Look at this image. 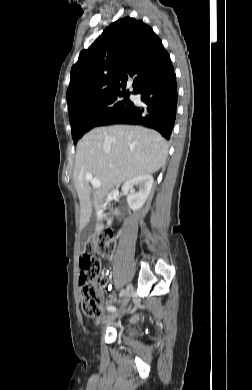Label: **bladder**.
I'll return each mask as SVG.
<instances>
[{
    "label": "bladder",
    "mask_w": 252,
    "mask_h": 390,
    "mask_svg": "<svg viewBox=\"0 0 252 390\" xmlns=\"http://www.w3.org/2000/svg\"><path fill=\"white\" fill-rule=\"evenodd\" d=\"M122 336H123L124 338H126V339L131 340V339L134 338V333H133L132 329H131L130 327H128V328H126V329L124 330V332L122 333Z\"/></svg>",
    "instance_id": "31cf9c89"
}]
</instances>
